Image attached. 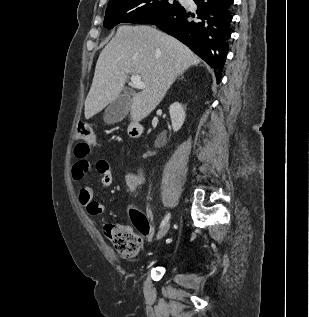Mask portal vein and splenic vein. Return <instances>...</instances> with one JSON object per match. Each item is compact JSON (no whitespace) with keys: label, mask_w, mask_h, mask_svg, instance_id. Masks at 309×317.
I'll use <instances>...</instances> for the list:
<instances>
[{"label":"portal vein and splenic vein","mask_w":309,"mask_h":317,"mask_svg":"<svg viewBox=\"0 0 309 317\" xmlns=\"http://www.w3.org/2000/svg\"><path fill=\"white\" fill-rule=\"evenodd\" d=\"M131 82L133 83V86L137 89H144L145 88V84L141 80V76L138 74L131 75Z\"/></svg>","instance_id":"1"}]
</instances>
